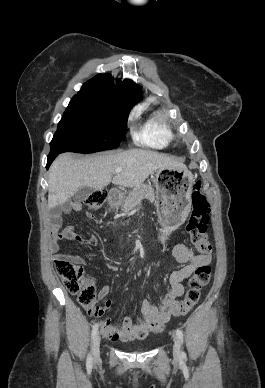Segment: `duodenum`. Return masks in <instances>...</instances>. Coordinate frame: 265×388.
I'll list each match as a JSON object with an SVG mask.
<instances>
[{"instance_id": "1", "label": "duodenum", "mask_w": 265, "mask_h": 388, "mask_svg": "<svg viewBox=\"0 0 265 388\" xmlns=\"http://www.w3.org/2000/svg\"><path fill=\"white\" fill-rule=\"evenodd\" d=\"M123 199V194L117 190V189H112L109 192V203L112 206L119 205Z\"/></svg>"}]
</instances>
